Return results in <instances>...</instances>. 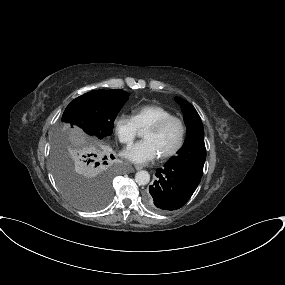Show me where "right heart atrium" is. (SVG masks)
Wrapping results in <instances>:
<instances>
[{
	"mask_svg": "<svg viewBox=\"0 0 285 285\" xmlns=\"http://www.w3.org/2000/svg\"><path fill=\"white\" fill-rule=\"evenodd\" d=\"M113 128L119 141L125 145H131L139 134L134 118L128 115H119L114 120Z\"/></svg>",
	"mask_w": 285,
	"mask_h": 285,
	"instance_id": "obj_1",
	"label": "right heart atrium"
}]
</instances>
